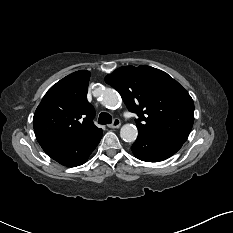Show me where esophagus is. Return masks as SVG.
I'll return each instance as SVG.
<instances>
[{
	"label": "esophagus",
	"mask_w": 233,
	"mask_h": 233,
	"mask_svg": "<svg viewBox=\"0 0 233 233\" xmlns=\"http://www.w3.org/2000/svg\"><path fill=\"white\" fill-rule=\"evenodd\" d=\"M121 126V121L118 118H115L111 124L108 125L109 128L115 129Z\"/></svg>",
	"instance_id": "esophagus-1"
}]
</instances>
